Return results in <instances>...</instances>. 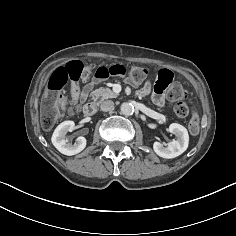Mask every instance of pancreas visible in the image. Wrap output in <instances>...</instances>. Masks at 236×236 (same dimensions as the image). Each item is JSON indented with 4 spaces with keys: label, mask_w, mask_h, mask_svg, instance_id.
<instances>
[{
    "label": "pancreas",
    "mask_w": 236,
    "mask_h": 236,
    "mask_svg": "<svg viewBox=\"0 0 236 236\" xmlns=\"http://www.w3.org/2000/svg\"><path fill=\"white\" fill-rule=\"evenodd\" d=\"M93 103L99 105L102 101L109 98H116L118 94L109 88L100 87L91 93Z\"/></svg>",
    "instance_id": "pancreas-1"
}]
</instances>
